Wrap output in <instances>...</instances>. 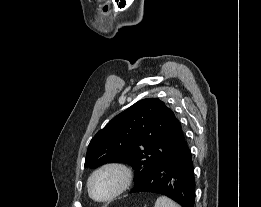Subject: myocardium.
Segmentation results:
<instances>
[{
	"instance_id": "f54148a6",
	"label": "myocardium",
	"mask_w": 261,
	"mask_h": 207,
	"mask_svg": "<svg viewBox=\"0 0 261 207\" xmlns=\"http://www.w3.org/2000/svg\"><path fill=\"white\" fill-rule=\"evenodd\" d=\"M104 171H114L118 173L120 175L121 181L118 188L110 196L104 199H97L96 197H94L92 193L91 185L95 176H97L99 173ZM131 182H132V172L130 168L125 164L112 162V163H106L101 165L91 173L87 182V189H88L89 196L91 197L92 200L98 203H107L114 200L122 193H124L131 185Z\"/></svg>"
}]
</instances>
